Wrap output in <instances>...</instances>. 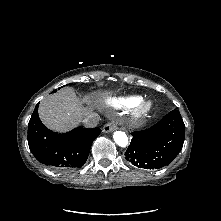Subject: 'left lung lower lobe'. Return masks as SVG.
I'll list each match as a JSON object with an SVG mask.
<instances>
[{"mask_svg":"<svg viewBox=\"0 0 221 221\" xmlns=\"http://www.w3.org/2000/svg\"><path fill=\"white\" fill-rule=\"evenodd\" d=\"M131 134L126 159L139 168L158 169L171 163L182 149L185 125L180 112L173 110L154 126Z\"/></svg>","mask_w":221,"mask_h":221,"instance_id":"0a47b994","label":"left lung lower lobe"}]
</instances>
